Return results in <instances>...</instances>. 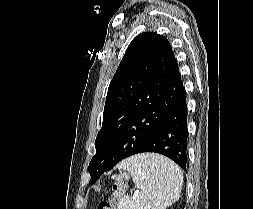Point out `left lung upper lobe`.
<instances>
[{
  "label": "left lung upper lobe",
  "instance_id": "obj_1",
  "mask_svg": "<svg viewBox=\"0 0 253 209\" xmlns=\"http://www.w3.org/2000/svg\"><path fill=\"white\" fill-rule=\"evenodd\" d=\"M181 85L169 41L154 32L136 36L108 87L89 183L142 147L170 113Z\"/></svg>",
  "mask_w": 253,
  "mask_h": 209
}]
</instances>
